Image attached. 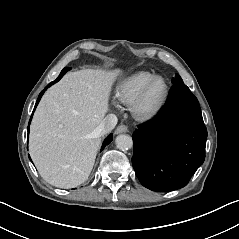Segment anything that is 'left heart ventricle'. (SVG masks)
Wrapping results in <instances>:
<instances>
[{
    "instance_id": "left-heart-ventricle-1",
    "label": "left heart ventricle",
    "mask_w": 239,
    "mask_h": 239,
    "mask_svg": "<svg viewBox=\"0 0 239 239\" xmlns=\"http://www.w3.org/2000/svg\"><path fill=\"white\" fill-rule=\"evenodd\" d=\"M165 94V82L157 81L150 89L144 104L145 111H152L161 101Z\"/></svg>"
}]
</instances>
